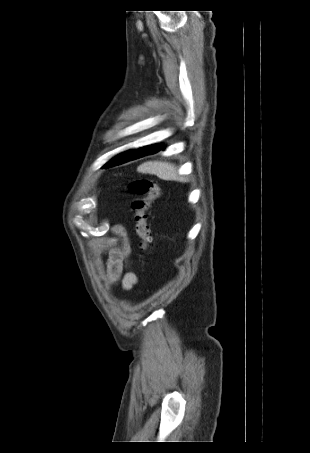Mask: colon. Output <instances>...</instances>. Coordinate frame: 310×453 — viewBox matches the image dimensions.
Segmentation results:
<instances>
[{"instance_id": "obj_1", "label": "colon", "mask_w": 310, "mask_h": 453, "mask_svg": "<svg viewBox=\"0 0 310 453\" xmlns=\"http://www.w3.org/2000/svg\"><path fill=\"white\" fill-rule=\"evenodd\" d=\"M128 190L134 197L132 201L134 230L139 238L141 250L146 251L152 243L149 214L154 202L161 196V191L155 182L145 178L132 180L128 184Z\"/></svg>"}]
</instances>
